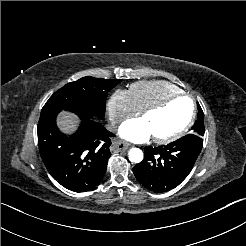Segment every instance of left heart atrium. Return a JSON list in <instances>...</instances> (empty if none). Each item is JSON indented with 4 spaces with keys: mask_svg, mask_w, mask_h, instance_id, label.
Here are the masks:
<instances>
[{
    "mask_svg": "<svg viewBox=\"0 0 246 246\" xmlns=\"http://www.w3.org/2000/svg\"><path fill=\"white\" fill-rule=\"evenodd\" d=\"M119 135L125 140L141 143L147 141L152 135L140 119H130L125 121L119 128Z\"/></svg>",
    "mask_w": 246,
    "mask_h": 246,
    "instance_id": "obj_1",
    "label": "left heart atrium"
}]
</instances>
